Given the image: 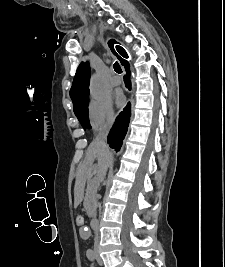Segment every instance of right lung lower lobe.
I'll use <instances>...</instances> for the list:
<instances>
[{
    "label": "right lung lower lobe",
    "instance_id": "obj_1",
    "mask_svg": "<svg viewBox=\"0 0 225 267\" xmlns=\"http://www.w3.org/2000/svg\"><path fill=\"white\" fill-rule=\"evenodd\" d=\"M127 74L124 78L126 86L130 87V72H129V65H126ZM130 118V105L124 109L123 112L117 117L116 122L108 135V143L110 147L114 148L116 151H119L122 140L126 134L128 123Z\"/></svg>",
    "mask_w": 225,
    "mask_h": 267
}]
</instances>
